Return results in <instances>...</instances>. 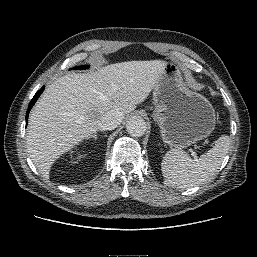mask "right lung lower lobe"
<instances>
[{"mask_svg": "<svg viewBox=\"0 0 257 257\" xmlns=\"http://www.w3.org/2000/svg\"><path fill=\"white\" fill-rule=\"evenodd\" d=\"M43 90H44V86H43L40 90H38V91L36 92V94L34 95V97L32 98V100H31V102H30V104H29L27 113H26V123H27V121H28V114H29L30 109H31L32 106L35 104V102L37 101L38 97L41 95V93L43 92Z\"/></svg>", "mask_w": 257, "mask_h": 257, "instance_id": "98d812e1", "label": "right lung lower lobe"}]
</instances>
